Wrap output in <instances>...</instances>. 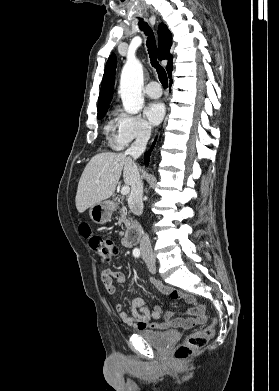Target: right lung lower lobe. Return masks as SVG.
I'll return each instance as SVG.
<instances>
[{
	"label": "right lung lower lobe",
	"mask_w": 279,
	"mask_h": 391,
	"mask_svg": "<svg viewBox=\"0 0 279 391\" xmlns=\"http://www.w3.org/2000/svg\"><path fill=\"white\" fill-rule=\"evenodd\" d=\"M154 144H155V143H153L151 149H150L148 152H146V153L144 154V158H145L144 163H145V164H148V162H149V156L151 155V151H152V148L154 147Z\"/></svg>",
	"instance_id": "1"
}]
</instances>
